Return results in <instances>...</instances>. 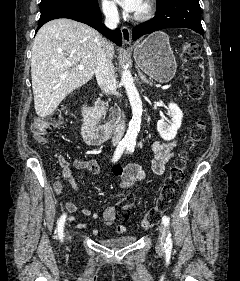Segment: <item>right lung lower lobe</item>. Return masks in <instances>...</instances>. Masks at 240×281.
Segmentation results:
<instances>
[{
    "mask_svg": "<svg viewBox=\"0 0 240 281\" xmlns=\"http://www.w3.org/2000/svg\"><path fill=\"white\" fill-rule=\"evenodd\" d=\"M57 18H69L85 23L97 29L118 46L122 45L121 31L119 29L111 31L102 24V15L99 10V5L90 7L66 2L52 4L41 9L38 29L46 22Z\"/></svg>",
    "mask_w": 240,
    "mask_h": 281,
    "instance_id": "98d812e1",
    "label": "right lung lower lobe"
}]
</instances>
